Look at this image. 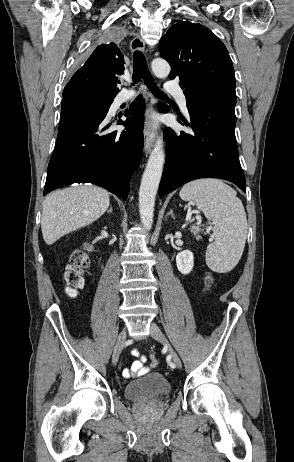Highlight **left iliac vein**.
<instances>
[{
    "mask_svg": "<svg viewBox=\"0 0 294 462\" xmlns=\"http://www.w3.org/2000/svg\"><path fill=\"white\" fill-rule=\"evenodd\" d=\"M150 335L152 336V338H154L158 342H161L167 346L169 353L172 354V360L174 362L173 364L175 365V367L181 368L182 363H181L179 356L169 345L167 339L165 338L160 328L155 323L150 324Z\"/></svg>",
    "mask_w": 294,
    "mask_h": 462,
    "instance_id": "left-iliac-vein-1",
    "label": "left iliac vein"
}]
</instances>
